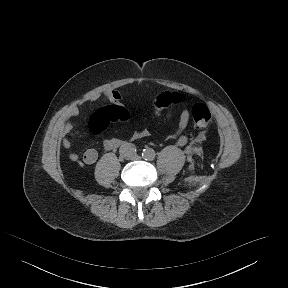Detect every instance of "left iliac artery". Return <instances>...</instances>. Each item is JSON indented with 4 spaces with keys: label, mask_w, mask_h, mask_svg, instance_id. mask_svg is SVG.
<instances>
[{
    "label": "left iliac artery",
    "mask_w": 288,
    "mask_h": 288,
    "mask_svg": "<svg viewBox=\"0 0 288 288\" xmlns=\"http://www.w3.org/2000/svg\"><path fill=\"white\" fill-rule=\"evenodd\" d=\"M142 157L145 160H153L155 158V151L151 148H146L142 152Z\"/></svg>",
    "instance_id": "left-iliac-artery-1"
}]
</instances>
